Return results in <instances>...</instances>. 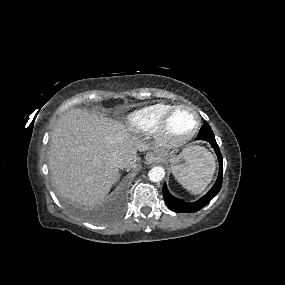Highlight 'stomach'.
Masks as SVG:
<instances>
[{"instance_id": "1", "label": "stomach", "mask_w": 285, "mask_h": 285, "mask_svg": "<svg viewBox=\"0 0 285 285\" xmlns=\"http://www.w3.org/2000/svg\"><path fill=\"white\" fill-rule=\"evenodd\" d=\"M182 158V154L181 155H178L177 157H174V155H170L169 157V161L172 163V164H176L180 161V159Z\"/></svg>"}]
</instances>
